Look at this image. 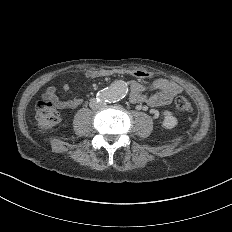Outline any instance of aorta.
Instances as JSON below:
<instances>
[{"label":"aorta","instance_id":"762f6f07","mask_svg":"<svg viewBox=\"0 0 232 232\" xmlns=\"http://www.w3.org/2000/svg\"><path fill=\"white\" fill-rule=\"evenodd\" d=\"M128 93V86L122 80L114 81L109 87L104 89L101 97L109 102H117L123 99Z\"/></svg>","mask_w":232,"mask_h":232}]
</instances>
